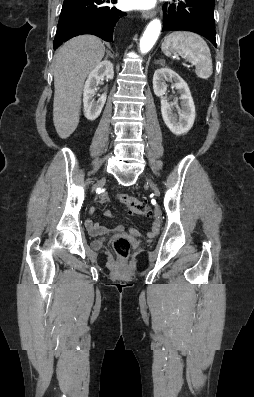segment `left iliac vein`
<instances>
[{"label":"left iliac vein","instance_id":"1","mask_svg":"<svg viewBox=\"0 0 254 397\" xmlns=\"http://www.w3.org/2000/svg\"><path fill=\"white\" fill-rule=\"evenodd\" d=\"M147 183L149 184V186L155 191V192H157V188H156V186L154 185V183L151 181V180H147Z\"/></svg>","mask_w":254,"mask_h":397}]
</instances>
